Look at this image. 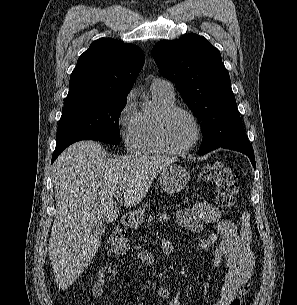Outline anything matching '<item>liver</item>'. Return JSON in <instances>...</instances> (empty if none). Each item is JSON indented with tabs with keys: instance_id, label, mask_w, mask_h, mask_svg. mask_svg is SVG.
I'll return each instance as SVG.
<instances>
[{
	"instance_id": "liver-1",
	"label": "liver",
	"mask_w": 297,
	"mask_h": 305,
	"mask_svg": "<svg viewBox=\"0 0 297 305\" xmlns=\"http://www.w3.org/2000/svg\"><path fill=\"white\" fill-rule=\"evenodd\" d=\"M173 161L141 154L109 157L94 141L77 142L57 158L53 165L57 213L48 255L59 289L70 287L98 251L101 238L93 232L95 224L118 218L114 195L124 196L126 208L137 205Z\"/></svg>"
}]
</instances>
